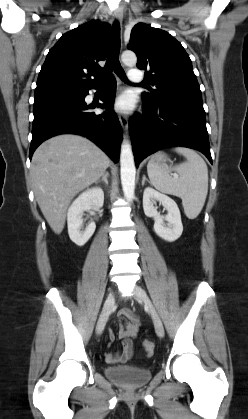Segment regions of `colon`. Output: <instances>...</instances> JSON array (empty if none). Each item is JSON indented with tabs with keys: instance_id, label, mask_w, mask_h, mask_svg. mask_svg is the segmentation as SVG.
Listing matches in <instances>:
<instances>
[{
	"instance_id": "1",
	"label": "colon",
	"mask_w": 248,
	"mask_h": 419,
	"mask_svg": "<svg viewBox=\"0 0 248 419\" xmlns=\"http://www.w3.org/2000/svg\"><path fill=\"white\" fill-rule=\"evenodd\" d=\"M142 347H143V349H144V351H145V352H147V353H152V352H153V350H154V343H153V341H151V340H147V339H145V340L142 342Z\"/></svg>"
}]
</instances>
